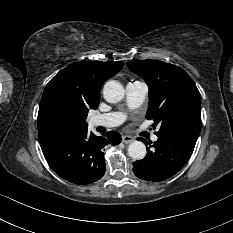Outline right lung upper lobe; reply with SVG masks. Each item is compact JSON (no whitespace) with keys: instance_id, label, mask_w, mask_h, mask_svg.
<instances>
[{"instance_id":"obj_1","label":"right lung upper lobe","mask_w":233,"mask_h":233,"mask_svg":"<svg viewBox=\"0 0 233 233\" xmlns=\"http://www.w3.org/2000/svg\"><path fill=\"white\" fill-rule=\"evenodd\" d=\"M123 62H79L60 71L45 87L38 113V134L45 132L69 131L46 126L42 112L55 97L63 98L75 106L89 111L96 109L100 101L103 83L123 67Z\"/></svg>"}]
</instances>
